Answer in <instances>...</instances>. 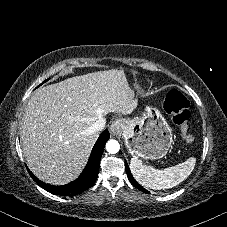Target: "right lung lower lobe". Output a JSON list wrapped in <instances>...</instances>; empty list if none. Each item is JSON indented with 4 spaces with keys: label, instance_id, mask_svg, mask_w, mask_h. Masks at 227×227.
<instances>
[{
    "label": "right lung lower lobe",
    "instance_id": "98d812e1",
    "mask_svg": "<svg viewBox=\"0 0 227 227\" xmlns=\"http://www.w3.org/2000/svg\"><path fill=\"white\" fill-rule=\"evenodd\" d=\"M109 139V131L106 129L96 141L88 163L81 173V175L74 181L62 185V186H54L46 184L39 179H37L32 172L28 169L30 176L33 178L35 182L39 186H41L46 191L61 196H74L77 194L82 193L83 191L87 190L88 188L92 187L96 181L99 171L100 159L102 157V153L104 150V146Z\"/></svg>",
    "mask_w": 227,
    "mask_h": 227
}]
</instances>
